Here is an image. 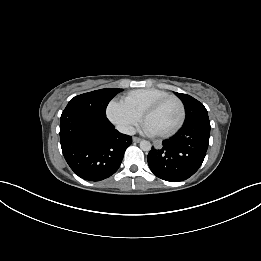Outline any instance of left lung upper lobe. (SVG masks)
Returning a JSON list of instances; mask_svg holds the SVG:
<instances>
[{
  "label": "left lung upper lobe",
  "instance_id": "left-lung-upper-lobe-1",
  "mask_svg": "<svg viewBox=\"0 0 261 261\" xmlns=\"http://www.w3.org/2000/svg\"><path fill=\"white\" fill-rule=\"evenodd\" d=\"M181 98L186 109V118L184 125L190 124L199 120H209L206 108L195 98L187 94L176 93Z\"/></svg>",
  "mask_w": 261,
  "mask_h": 261
}]
</instances>
